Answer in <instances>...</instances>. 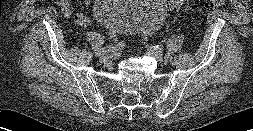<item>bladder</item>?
I'll return each instance as SVG.
<instances>
[{"mask_svg": "<svg viewBox=\"0 0 253 131\" xmlns=\"http://www.w3.org/2000/svg\"><path fill=\"white\" fill-rule=\"evenodd\" d=\"M97 21L114 33H151L164 22L163 0H95Z\"/></svg>", "mask_w": 253, "mask_h": 131, "instance_id": "obj_1", "label": "bladder"}]
</instances>
